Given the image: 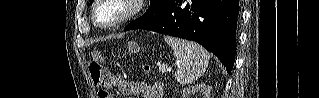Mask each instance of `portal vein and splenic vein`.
I'll list each match as a JSON object with an SVG mask.
<instances>
[{"instance_id": "18ae733b", "label": "portal vein and splenic vein", "mask_w": 319, "mask_h": 98, "mask_svg": "<svg viewBox=\"0 0 319 98\" xmlns=\"http://www.w3.org/2000/svg\"><path fill=\"white\" fill-rule=\"evenodd\" d=\"M159 69H160L162 72L170 71V68H169L167 65H161V64H159Z\"/></svg>"}]
</instances>
